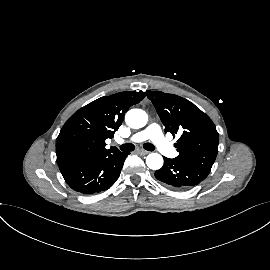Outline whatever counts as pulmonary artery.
<instances>
[{
    "instance_id": "pulmonary-artery-1",
    "label": "pulmonary artery",
    "mask_w": 270,
    "mask_h": 270,
    "mask_svg": "<svg viewBox=\"0 0 270 270\" xmlns=\"http://www.w3.org/2000/svg\"><path fill=\"white\" fill-rule=\"evenodd\" d=\"M145 140H151L165 156L174 157L176 155L175 148L165 139L160 126L156 123L150 124L130 138L131 142H142Z\"/></svg>"
}]
</instances>
